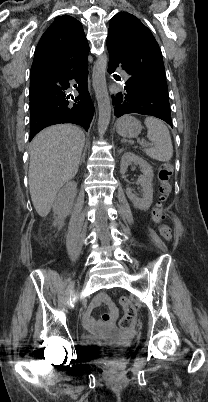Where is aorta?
Listing matches in <instances>:
<instances>
[{
  "label": "aorta",
  "mask_w": 208,
  "mask_h": 402,
  "mask_svg": "<svg viewBox=\"0 0 208 402\" xmlns=\"http://www.w3.org/2000/svg\"><path fill=\"white\" fill-rule=\"evenodd\" d=\"M107 62L108 58L106 54H102V56H99L97 62H95L92 72V84L99 110L98 132L100 136L105 134L111 118V102L105 78Z\"/></svg>",
  "instance_id": "obj_1"
}]
</instances>
